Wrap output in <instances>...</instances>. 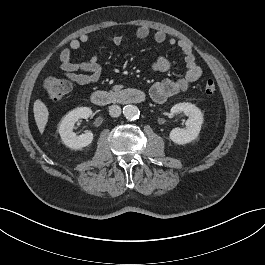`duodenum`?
Instances as JSON below:
<instances>
[{"label":"duodenum","instance_id":"1","mask_svg":"<svg viewBox=\"0 0 265 265\" xmlns=\"http://www.w3.org/2000/svg\"><path fill=\"white\" fill-rule=\"evenodd\" d=\"M145 99L144 93L136 88H128L119 91H95L91 95V101L97 106L110 104H139Z\"/></svg>","mask_w":265,"mask_h":265}]
</instances>
